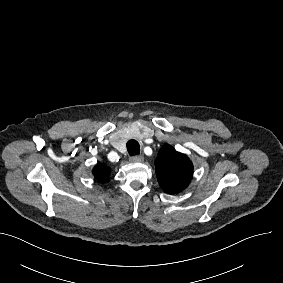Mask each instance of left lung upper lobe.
<instances>
[{
  "label": "left lung upper lobe",
  "instance_id": "1",
  "mask_svg": "<svg viewBox=\"0 0 283 283\" xmlns=\"http://www.w3.org/2000/svg\"><path fill=\"white\" fill-rule=\"evenodd\" d=\"M156 175L164 192L175 194L188 187L193 176V164L170 145H164L155 160Z\"/></svg>",
  "mask_w": 283,
  "mask_h": 283
}]
</instances>
